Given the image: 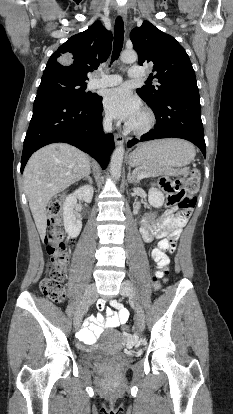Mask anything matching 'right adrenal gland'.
Listing matches in <instances>:
<instances>
[{
    "label": "right adrenal gland",
    "mask_w": 233,
    "mask_h": 414,
    "mask_svg": "<svg viewBox=\"0 0 233 414\" xmlns=\"http://www.w3.org/2000/svg\"><path fill=\"white\" fill-rule=\"evenodd\" d=\"M91 171L86 175L85 180H89L90 184H92V178L90 177Z\"/></svg>",
    "instance_id": "1"
}]
</instances>
